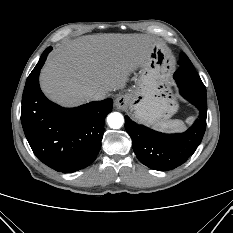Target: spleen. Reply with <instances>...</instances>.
Here are the masks:
<instances>
[{"label":"spleen","mask_w":233,"mask_h":233,"mask_svg":"<svg viewBox=\"0 0 233 233\" xmlns=\"http://www.w3.org/2000/svg\"><path fill=\"white\" fill-rule=\"evenodd\" d=\"M194 120V117H188L186 119L187 124H191ZM156 129L161 131H169V132H181L185 130V123L182 120H166L162 121L154 126Z\"/></svg>","instance_id":"spleen-1"}]
</instances>
